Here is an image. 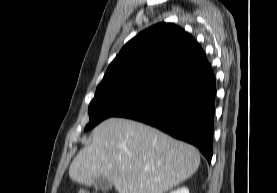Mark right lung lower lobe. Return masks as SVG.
<instances>
[{"mask_svg":"<svg viewBox=\"0 0 277 193\" xmlns=\"http://www.w3.org/2000/svg\"><path fill=\"white\" fill-rule=\"evenodd\" d=\"M215 75L209 64L153 91L115 117L137 120L195 145L211 162Z\"/></svg>","mask_w":277,"mask_h":193,"instance_id":"obj_1","label":"right lung lower lobe"}]
</instances>
